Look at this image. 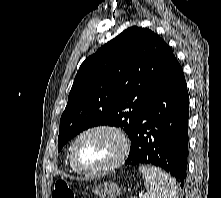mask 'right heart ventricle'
<instances>
[{"label":"right heart ventricle","instance_id":"e07e8e85","mask_svg":"<svg viewBox=\"0 0 221 198\" xmlns=\"http://www.w3.org/2000/svg\"><path fill=\"white\" fill-rule=\"evenodd\" d=\"M69 163H70L71 168H72L74 171H76V170L74 169V167L72 166L71 162H70V158H69Z\"/></svg>","mask_w":221,"mask_h":198}]
</instances>
